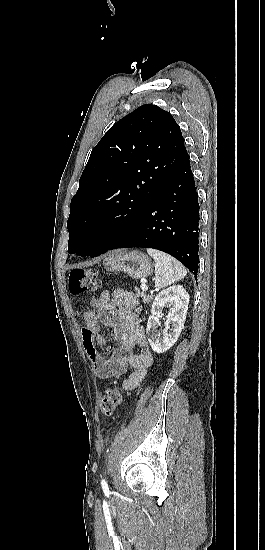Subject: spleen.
Returning a JSON list of instances; mask_svg holds the SVG:
<instances>
[{"label": "spleen", "instance_id": "1", "mask_svg": "<svg viewBox=\"0 0 265 550\" xmlns=\"http://www.w3.org/2000/svg\"><path fill=\"white\" fill-rule=\"evenodd\" d=\"M147 252L156 262L155 286L158 289L164 288L186 276L187 272L184 266L172 256L151 248H148Z\"/></svg>", "mask_w": 265, "mask_h": 550}]
</instances>
